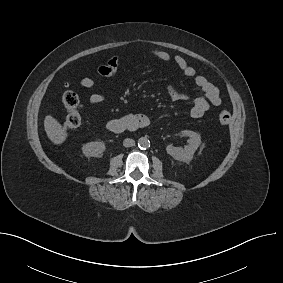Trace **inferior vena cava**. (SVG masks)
<instances>
[{"label":"inferior vena cava","mask_w":283,"mask_h":283,"mask_svg":"<svg viewBox=\"0 0 283 283\" xmlns=\"http://www.w3.org/2000/svg\"><path fill=\"white\" fill-rule=\"evenodd\" d=\"M135 145V141L131 138H126L124 141H123V146L124 147H132Z\"/></svg>","instance_id":"1"}]
</instances>
